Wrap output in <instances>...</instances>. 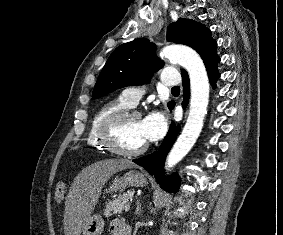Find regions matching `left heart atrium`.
Here are the masks:
<instances>
[{
	"label": "left heart atrium",
	"mask_w": 283,
	"mask_h": 235,
	"mask_svg": "<svg viewBox=\"0 0 283 235\" xmlns=\"http://www.w3.org/2000/svg\"><path fill=\"white\" fill-rule=\"evenodd\" d=\"M167 119L164 113L156 111L141 120V130L146 141H156L166 132Z\"/></svg>",
	"instance_id": "left-heart-atrium-1"
}]
</instances>
